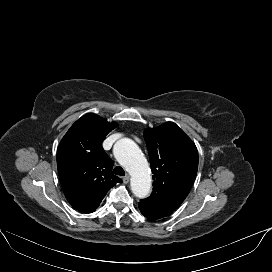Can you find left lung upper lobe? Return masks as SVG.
I'll list each match as a JSON object with an SVG mask.
<instances>
[{
	"label": "left lung upper lobe",
	"instance_id": "1",
	"mask_svg": "<svg viewBox=\"0 0 272 272\" xmlns=\"http://www.w3.org/2000/svg\"><path fill=\"white\" fill-rule=\"evenodd\" d=\"M151 168L153 192L139 208L157 218L176 210L187 197L198 169V151L175 123L167 122L144 133Z\"/></svg>",
	"mask_w": 272,
	"mask_h": 272
}]
</instances>
